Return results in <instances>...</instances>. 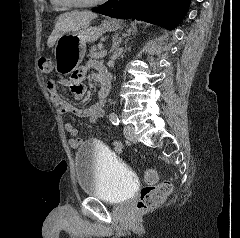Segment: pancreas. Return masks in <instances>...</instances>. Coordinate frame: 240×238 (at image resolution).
Masks as SVG:
<instances>
[{
  "mask_svg": "<svg viewBox=\"0 0 240 238\" xmlns=\"http://www.w3.org/2000/svg\"><path fill=\"white\" fill-rule=\"evenodd\" d=\"M89 56L93 59H99V58H101V50L98 51L96 46H92Z\"/></svg>",
  "mask_w": 240,
  "mask_h": 238,
  "instance_id": "obj_1",
  "label": "pancreas"
}]
</instances>
